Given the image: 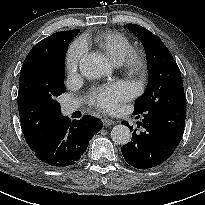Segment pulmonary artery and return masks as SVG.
<instances>
[{
    "label": "pulmonary artery",
    "mask_w": 205,
    "mask_h": 205,
    "mask_svg": "<svg viewBox=\"0 0 205 205\" xmlns=\"http://www.w3.org/2000/svg\"><path fill=\"white\" fill-rule=\"evenodd\" d=\"M78 107H79L78 101H76V100L70 101V102L63 105V113L65 115H69V114L73 113L75 110H77Z\"/></svg>",
    "instance_id": "1"
}]
</instances>
